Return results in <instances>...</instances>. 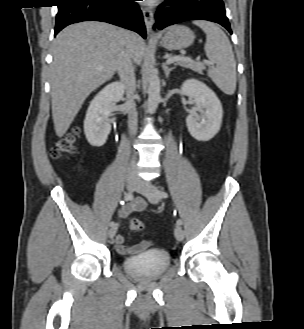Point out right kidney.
<instances>
[{"instance_id": "obj_1", "label": "right kidney", "mask_w": 304, "mask_h": 329, "mask_svg": "<svg viewBox=\"0 0 304 329\" xmlns=\"http://www.w3.org/2000/svg\"><path fill=\"white\" fill-rule=\"evenodd\" d=\"M124 94L123 84L113 82L105 86L91 101L84 120V133L92 146L105 144L111 130L109 123V107L119 102Z\"/></svg>"}]
</instances>
